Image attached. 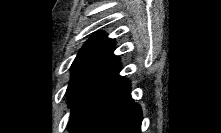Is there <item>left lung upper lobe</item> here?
<instances>
[{
	"mask_svg": "<svg viewBox=\"0 0 221 133\" xmlns=\"http://www.w3.org/2000/svg\"><path fill=\"white\" fill-rule=\"evenodd\" d=\"M114 46V40L104 33L92 36L84 44L72 64V77L67 88L69 106L90 83L119 62L113 55Z\"/></svg>",
	"mask_w": 221,
	"mask_h": 133,
	"instance_id": "obj_1",
	"label": "left lung upper lobe"
}]
</instances>
